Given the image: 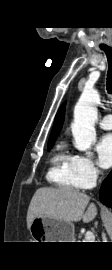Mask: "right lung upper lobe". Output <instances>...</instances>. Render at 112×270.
<instances>
[{"instance_id":"cb5924a9","label":"right lung upper lobe","mask_w":112,"mask_h":270,"mask_svg":"<svg viewBox=\"0 0 112 270\" xmlns=\"http://www.w3.org/2000/svg\"><path fill=\"white\" fill-rule=\"evenodd\" d=\"M64 110H65V104H63L55 117V121H54V125L49 137V141L48 142H54L56 137L58 136V134L60 133V130L62 128V124H63V120H64Z\"/></svg>"}]
</instances>
